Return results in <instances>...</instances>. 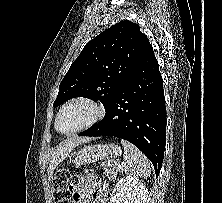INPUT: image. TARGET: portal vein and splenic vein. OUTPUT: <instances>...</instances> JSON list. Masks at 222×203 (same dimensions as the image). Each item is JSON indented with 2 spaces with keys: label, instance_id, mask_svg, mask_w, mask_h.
Here are the masks:
<instances>
[{
  "label": "portal vein and splenic vein",
  "instance_id": "obj_1",
  "mask_svg": "<svg viewBox=\"0 0 222 203\" xmlns=\"http://www.w3.org/2000/svg\"><path fill=\"white\" fill-rule=\"evenodd\" d=\"M117 165H118V170H122L121 165L119 163H117Z\"/></svg>",
  "mask_w": 222,
  "mask_h": 203
}]
</instances>
